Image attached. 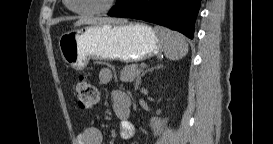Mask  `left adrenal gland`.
I'll use <instances>...</instances> for the list:
<instances>
[{
	"instance_id": "a2214340",
	"label": "left adrenal gland",
	"mask_w": 273,
	"mask_h": 144,
	"mask_svg": "<svg viewBox=\"0 0 273 144\" xmlns=\"http://www.w3.org/2000/svg\"><path fill=\"white\" fill-rule=\"evenodd\" d=\"M161 67H162V65H158V66L149 68V69H147L146 71H144V72L141 74V76H139V77L137 78V80H136V82H135V90H137L138 87H139V85L141 84V77L144 76L145 73H147L148 71H152V70H154V69H159V68H161Z\"/></svg>"
}]
</instances>
